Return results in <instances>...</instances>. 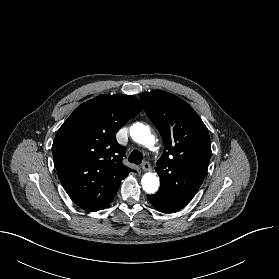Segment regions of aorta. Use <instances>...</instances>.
Instances as JSON below:
<instances>
[{"label": "aorta", "instance_id": "1", "mask_svg": "<svg viewBox=\"0 0 279 279\" xmlns=\"http://www.w3.org/2000/svg\"><path fill=\"white\" fill-rule=\"evenodd\" d=\"M130 136L135 142L146 147H151L154 143L150 128L142 123H136L130 127ZM141 184L145 192L153 194L158 190L160 183L155 173L148 172L143 175Z\"/></svg>", "mask_w": 279, "mask_h": 279}]
</instances>
